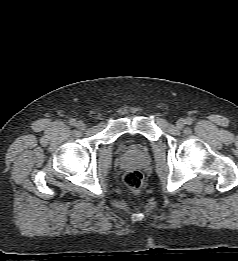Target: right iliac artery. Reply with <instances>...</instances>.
Returning <instances> with one entry per match:
<instances>
[{
    "mask_svg": "<svg viewBox=\"0 0 238 261\" xmlns=\"http://www.w3.org/2000/svg\"><path fill=\"white\" fill-rule=\"evenodd\" d=\"M69 123H70V125L75 126L76 125V120L75 119H71L69 121Z\"/></svg>",
    "mask_w": 238,
    "mask_h": 261,
    "instance_id": "right-iliac-artery-1",
    "label": "right iliac artery"
}]
</instances>
